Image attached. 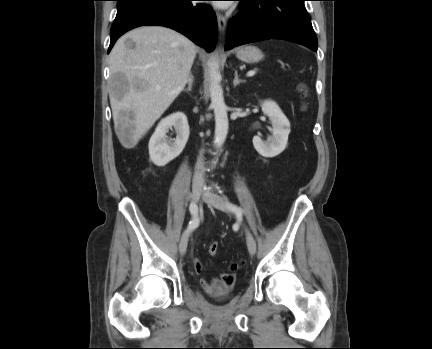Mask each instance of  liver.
<instances>
[{"instance_id": "liver-1", "label": "liver", "mask_w": 432, "mask_h": 349, "mask_svg": "<svg viewBox=\"0 0 432 349\" xmlns=\"http://www.w3.org/2000/svg\"><path fill=\"white\" fill-rule=\"evenodd\" d=\"M197 51L188 38L160 26L133 29L116 42L109 57V98L124 148H134L183 90Z\"/></svg>"}]
</instances>
